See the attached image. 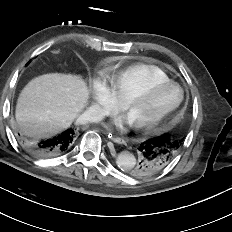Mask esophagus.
Returning a JSON list of instances; mask_svg holds the SVG:
<instances>
[{"label":"esophagus","instance_id":"1","mask_svg":"<svg viewBox=\"0 0 232 232\" xmlns=\"http://www.w3.org/2000/svg\"><path fill=\"white\" fill-rule=\"evenodd\" d=\"M105 134H108V137L111 138L112 141L114 142H118V143H122L123 139L120 137H116V136H112V134L110 133L109 129H103L102 130Z\"/></svg>","mask_w":232,"mask_h":232}]
</instances>
